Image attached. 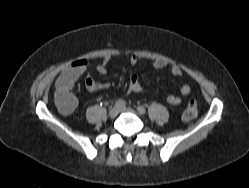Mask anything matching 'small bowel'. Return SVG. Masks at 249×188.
Wrapping results in <instances>:
<instances>
[{"label":"small bowel","instance_id":"small-bowel-1","mask_svg":"<svg viewBox=\"0 0 249 188\" xmlns=\"http://www.w3.org/2000/svg\"><path fill=\"white\" fill-rule=\"evenodd\" d=\"M141 60V57L137 54H129L128 62L130 65H136ZM111 61L110 56H106L103 61L97 66V72L101 75L107 73V67ZM88 61L85 59H78L72 63L63 73V75L58 79L56 84V89L66 88L71 91L75 83L88 69ZM167 66L166 62L160 59L153 61V67L157 70L163 69ZM171 74L179 76L182 74V70L177 65L171 64L168 66ZM86 89L89 92H94L97 90H103L109 88L110 84L108 82H98L95 81L89 75L85 80ZM129 91L134 93H139L142 91V87L139 83L138 77L136 75H130L129 77ZM191 91L188 84H183L180 88L181 96L175 94H169L166 98L167 102L171 105H179L182 103L183 97L187 96Z\"/></svg>","mask_w":249,"mask_h":188}]
</instances>
